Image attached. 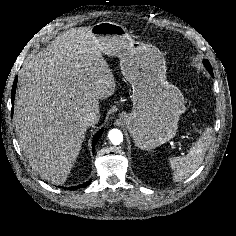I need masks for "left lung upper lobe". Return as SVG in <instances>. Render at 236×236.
I'll return each instance as SVG.
<instances>
[{
    "instance_id": "5c2ea615",
    "label": "left lung upper lobe",
    "mask_w": 236,
    "mask_h": 236,
    "mask_svg": "<svg viewBox=\"0 0 236 236\" xmlns=\"http://www.w3.org/2000/svg\"><path fill=\"white\" fill-rule=\"evenodd\" d=\"M204 64H205V67L207 68V70L209 71V73L213 74L212 67H211L210 63L207 60H205Z\"/></svg>"
}]
</instances>
